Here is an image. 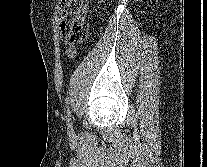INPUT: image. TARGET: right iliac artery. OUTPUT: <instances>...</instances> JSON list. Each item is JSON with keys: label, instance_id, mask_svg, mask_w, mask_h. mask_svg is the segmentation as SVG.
<instances>
[{"label": "right iliac artery", "instance_id": "right-iliac-artery-1", "mask_svg": "<svg viewBox=\"0 0 207 167\" xmlns=\"http://www.w3.org/2000/svg\"><path fill=\"white\" fill-rule=\"evenodd\" d=\"M66 119H67L68 131L72 132L73 127H72V121H71V114H70V112L67 113Z\"/></svg>", "mask_w": 207, "mask_h": 167}]
</instances>
